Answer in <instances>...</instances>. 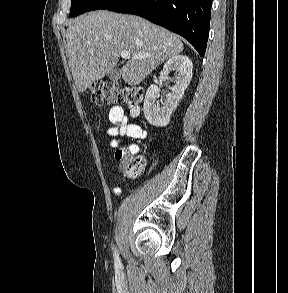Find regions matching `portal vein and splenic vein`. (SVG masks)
I'll return each mask as SVG.
<instances>
[{
    "instance_id": "portal-vein-and-splenic-vein-1",
    "label": "portal vein and splenic vein",
    "mask_w": 288,
    "mask_h": 293,
    "mask_svg": "<svg viewBox=\"0 0 288 293\" xmlns=\"http://www.w3.org/2000/svg\"><path fill=\"white\" fill-rule=\"evenodd\" d=\"M120 55H121V57L123 59H130L131 58V55H130V53L128 51H122L120 53ZM146 57H149V55L148 54H142V55L135 56L134 59H141V58H146Z\"/></svg>"
}]
</instances>
